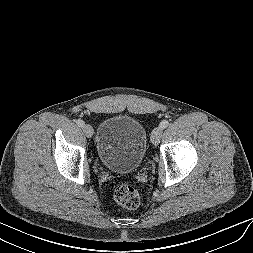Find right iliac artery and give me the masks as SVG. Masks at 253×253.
<instances>
[{
  "instance_id": "obj_1",
  "label": "right iliac artery",
  "mask_w": 253,
  "mask_h": 253,
  "mask_svg": "<svg viewBox=\"0 0 253 253\" xmlns=\"http://www.w3.org/2000/svg\"><path fill=\"white\" fill-rule=\"evenodd\" d=\"M76 123H77V125H78L79 127H82V126L84 125V121H83V120H80V119H78V120L76 121Z\"/></svg>"
}]
</instances>
